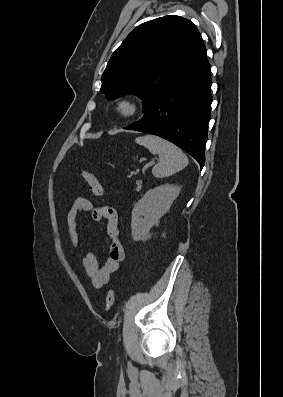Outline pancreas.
I'll return each instance as SVG.
<instances>
[{
  "label": "pancreas",
  "instance_id": "pancreas-1",
  "mask_svg": "<svg viewBox=\"0 0 283 397\" xmlns=\"http://www.w3.org/2000/svg\"><path fill=\"white\" fill-rule=\"evenodd\" d=\"M136 185H137V186H136V189H135V190L138 192V191H140V189H141V182L137 181V182H136Z\"/></svg>",
  "mask_w": 283,
  "mask_h": 397
}]
</instances>
